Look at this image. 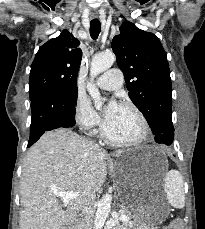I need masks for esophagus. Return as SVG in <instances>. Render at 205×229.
I'll return each mask as SVG.
<instances>
[{"instance_id":"34e87169","label":"esophagus","mask_w":205,"mask_h":229,"mask_svg":"<svg viewBox=\"0 0 205 229\" xmlns=\"http://www.w3.org/2000/svg\"><path fill=\"white\" fill-rule=\"evenodd\" d=\"M97 16L96 15H93V18H96Z\"/></svg>"}]
</instances>
